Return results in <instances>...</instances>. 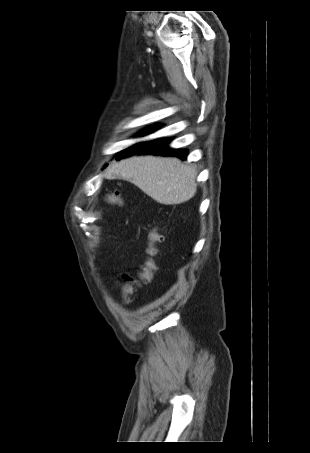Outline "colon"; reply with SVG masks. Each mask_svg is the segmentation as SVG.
I'll list each match as a JSON object with an SVG mask.
<instances>
[{
  "mask_svg": "<svg viewBox=\"0 0 310 453\" xmlns=\"http://www.w3.org/2000/svg\"><path fill=\"white\" fill-rule=\"evenodd\" d=\"M108 203L122 205L123 199L119 193L109 194L106 197ZM161 241V236L156 230H152L149 234V245L147 247L148 258L146 259L144 265L141 267L136 278L127 276L126 284L123 288L125 294L132 292L134 285H140L142 283H147L152 280L153 273L156 269L154 256L158 253L157 243Z\"/></svg>",
  "mask_w": 310,
  "mask_h": 453,
  "instance_id": "obj_1",
  "label": "colon"
}]
</instances>
